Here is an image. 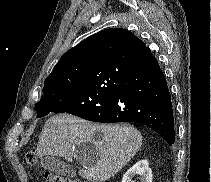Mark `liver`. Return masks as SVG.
<instances>
[{
  "label": "liver",
  "mask_w": 211,
  "mask_h": 182,
  "mask_svg": "<svg viewBox=\"0 0 211 182\" xmlns=\"http://www.w3.org/2000/svg\"><path fill=\"white\" fill-rule=\"evenodd\" d=\"M102 133L97 139L95 132ZM91 144L98 157L81 160L85 169L79 175L90 182H102L118 173L139 151L142 135L131 125L92 124L63 113L49 118L40 133L36 152L38 157L59 156L72 162L77 157L76 146Z\"/></svg>",
  "instance_id": "6515ba94"
}]
</instances>
